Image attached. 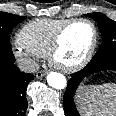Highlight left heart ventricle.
I'll return each instance as SVG.
<instances>
[{"mask_svg": "<svg viewBox=\"0 0 116 116\" xmlns=\"http://www.w3.org/2000/svg\"><path fill=\"white\" fill-rule=\"evenodd\" d=\"M92 29L86 23L72 25L64 34L57 61L62 65H72L80 61L92 42Z\"/></svg>", "mask_w": 116, "mask_h": 116, "instance_id": "obj_1", "label": "left heart ventricle"}]
</instances>
